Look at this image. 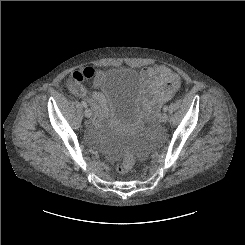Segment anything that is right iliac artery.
Segmentation results:
<instances>
[{
	"label": "right iliac artery",
	"instance_id": "right-iliac-artery-1",
	"mask_svg": "<svg viewBox=\"0 0 245 245\" xmlns=\"http://www.w3.org/2000/svg\"><path fill=\"white\" fill-rule=\"evenodd\" d=\"M82 105H83V107H87V104H86V102H84V101H82Z\"/></svg>",
	"mask_w": 245,
	"mask_h": 245
}]
</instances>
